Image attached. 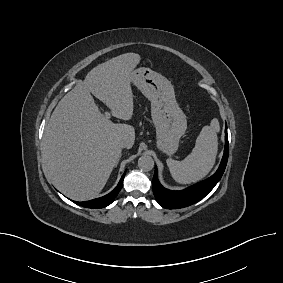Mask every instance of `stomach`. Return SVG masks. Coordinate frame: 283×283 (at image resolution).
<instances>
[{"instance_id":"0dacf381","label":"stomach","mask_w":283,"mask_h":283,"mask_svg":"<svg viewBox=\"0 0 283 283\" xmlns=\"http://www.w3.org/2000/svg\"><path fill=\"white\" fill-rule=\"evenodd\" d=\"M132 82L151 101V116L156 128L157 147L173 155L186 132V116L179 107L169 80L149 68L133 71Z\"/></svg>"}]
</instances>
